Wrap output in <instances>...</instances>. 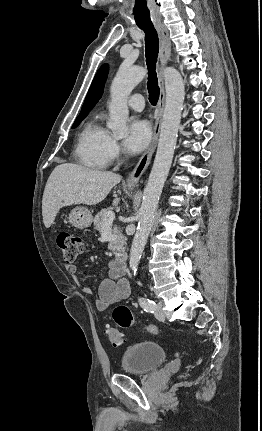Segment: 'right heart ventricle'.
<instances>
[{"label":"right heart ventricle","mask_w":262,"mask_h":431,"mask_svg":"<svg viewBox=\"0 0 262 431\" xmlns=\"http://www.w3.org/2000/svg\"><path fill=\"white\" fill-rule=\"evenodd\" d=\"M110 138L99 116L89 119L83 126L76 145V155L86 167L101 169L108 163L106 146Z\"/></svg>","instance_id":"obj_1"}]
</instances>
